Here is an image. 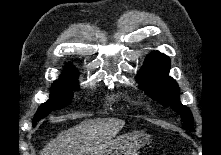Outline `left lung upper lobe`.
I'll use <instances>...</instances> for the list:
<instances>
[{"label":"left lung upper lobe","mask_w":221,"mask_h":155,"mask_svg":"<svg viewBox=\"0 0 221 155\" xmlns=\"http://www.w3.org/2000/svg\"><path fill=\"white\" fill-rule=\"evenodd\" d=\"M169 69V58L160 52H155L147 57L136 79L141 89H145L150 97L164 106L170 105L181 115L183 124L193 130L192 113L188 107L181 104L178 84L168 76Z\"/></svg>","instance_id":"obj_1"}]
</instances>
